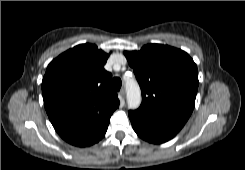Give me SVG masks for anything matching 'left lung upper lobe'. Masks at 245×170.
<instances>
[{
    "instance_id": "5c2ea615",
    "label": "left lung upper lobe",
    "mask_w": 245,
    "mask_h": 170,
    "mask_svg": "<svg viewBox=\"0 0 245 170\" xmlns=\"http://www.w3.org/2000/svg\"><path fill=\"white\" fill-rule=\"evenodd\" d=\"M142 91L136 112L183 127L190 117L198 88V70L184 51L148 44L124 52Z\"/></svg>"
}]
</instances>
